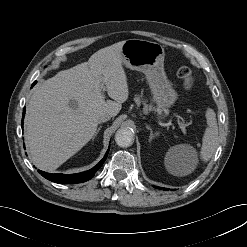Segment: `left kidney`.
Wrapping results in <instances>:
<instances>
[{
    "mask_svg": "<svg viewBox=\"0 0 247 247\" xmlns=\"http://www.w3.org/2000/svg\"><path fill=\"white\" fill-rule=\"evenodd\" d=\"M192 152V148L188 145H178L173 147L166 155V162L170 161L174 164L175 160L179 159L181 155H188Z\"/></svg>",
    "mask_w": 247,
    "mask_h": 247,
    "instance_id": "left-kidney-1",
    "label": "left kidney"
}]
</instances>
